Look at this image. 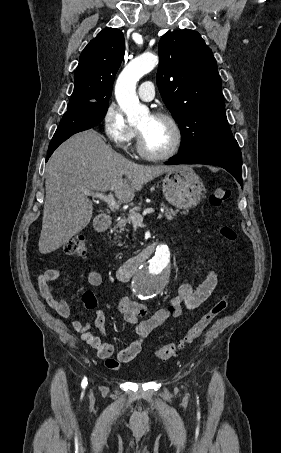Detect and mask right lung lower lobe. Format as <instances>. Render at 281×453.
Masks as SVG:
<instances>
[{
    "instance_id": "98d812e1",
    "label": "right lung lower lobe",
    "mask_w": 281,
    "mask_h": 453,
    "mask_svg": "<svg viewBox=\"0 0 281 453\" xmlns=\"http://www.w3.org/2000/svg\"><path fill=\"white\" fill-rule=\"evenodd\" d=\"M107 109L108 104H82L75 107H67V111L63 115L49 144L46 161L54 150L70 136L96 126L105 116Z\"/></svg>"
}]
</instances>
